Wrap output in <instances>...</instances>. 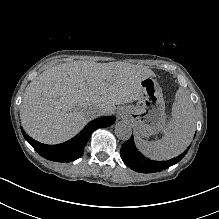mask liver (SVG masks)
I'll use <instances>...</instances> for the list:
<instances>
[{
    "label": "liver",
    "instance_id": "6515ba94",
    "mask_svg": "<svg viewBox=\"0 0 219 219\" xmlns=\"http://www.w3.org/2000/svg\"><path fill=\"white\" fill-rule=\"evenodd\" d=\"M153 73L126 63L70 62L48 68L25 89L20 109L24 131L45 144H59L98 114H112L115 105L138 99L140 82Z\"/></svg>",
    "mask_w": 219,
    "mask_h": 219
}]
</instances>
